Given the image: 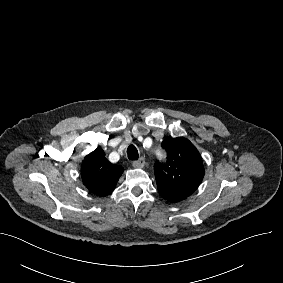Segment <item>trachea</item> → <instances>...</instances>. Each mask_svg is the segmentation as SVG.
I'll return each instance as SVG.
<instances>
[{
	"mask_svg": "<svg viewBox=\"0 0 283 283\" xmlns=\"http://www.w3.org/2000/svg\"><path fill=\"white\" fill-rule=\"evenodd\" d=\"M127 155H128V159L132 161L137 160L139 158L138 150L133 144L128 146Z\"/></svg>",
	"mask_w": 283,
	"mask_h": 283,
	"instance_id": "3493384b",
	"label": "trachea"
}]
</instances>
